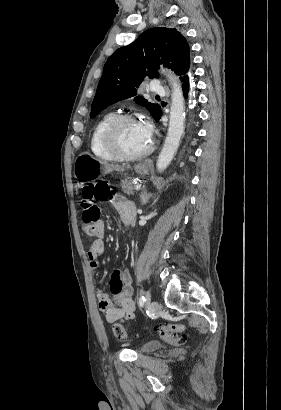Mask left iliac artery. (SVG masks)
<instances>
[{"instance_id": "left-iliac-artery-1", "label": "left iliac artery", "mask_w": 281, "mask_h": 410, "mask_svg": "<svg viewBox=\"0 0 281 410\" xmlns=\"http://www.w3.org/2000/svg\"><path fill=\"white\" fill-rule=\"evenodd\" d=\"M146 300H147V294L141 292L140 298H139V305L143 307L145 305Z\"/></svg>"}]
</instances>
